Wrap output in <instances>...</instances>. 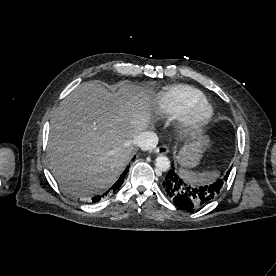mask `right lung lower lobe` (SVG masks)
<instances>
[{"instance_id":"1","label":"right lung lower lobe","mask_w":276,"mask_h":276,"mask_svg":"<svg viewBox=\"0 0 276 276\" xmlns=\"http://www.w3.org/2000/svg\"><path fill=\"white\" fill-rule=\"evenodd\" d=\"M127 171L123 175H121L120 178L117 180V182L111 187V191L105 192L102 196H96L92 200L94 202H96V201L98 202V201H100V199L102 197L106 196L109 192L110 193H114L122 185V183L124 182V178H125V175H126Z\"/></svg>"}]
</instances>
